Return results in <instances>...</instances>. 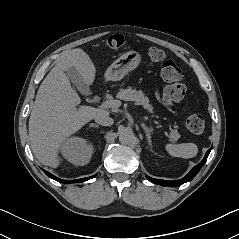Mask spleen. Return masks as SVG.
<instances>
[{"label":"spleen","mask_w":239,"mask_h":239,"mask_svg":"<svg viewBox=\"0 0 239 239\" xmlns=\"http://www.w3.org/2000/svg\"><path fill=\"white\" fill-rule=\"evenodd\" d=\"M165 150L173 157L192 158L198 152L194 143L166 144Z\"/></svg>","instance_id":"obj_1"}]
</instances>
